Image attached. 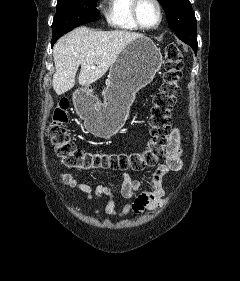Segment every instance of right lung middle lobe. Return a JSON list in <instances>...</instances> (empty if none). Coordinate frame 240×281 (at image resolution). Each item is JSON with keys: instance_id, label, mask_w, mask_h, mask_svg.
<instances>
[{"instance_id": "dd1d6c3e", "label": "right lung middle lobe", "mask_w": 240, "mask_h": 281, "mask_svg": "<svg viewBox=\"0 0 240 281\" xmlns=\"http://www.w3.org/2000/svg\"><path fill=\"white\" fill-rule=\"evenodd\" d=\"M98 0H58L56 15L52 24V45L64 33L75 27L96 21L99 11L96 8Z\"/></svg>"}]
</instances>
